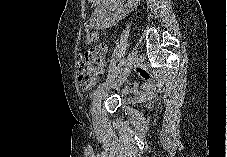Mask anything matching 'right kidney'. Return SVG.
<instances>
[{
	"label": "right kidney",
	"instance_id": "1",
	"mask_svg": "<svg viewBox=\"0 0 227 157\" xmlns=\"http://www.w3.org/2000/svg\"><path fill=\"white\" fill-rule=\"evenodd\" d=\"M110 2H114V1H110ZM107 8H109V12L107 11ZM114 10H115V6L109 7L106 4L98 6L94 12V16L97 18V25L104 27V26L115 24V22L125 17L126 12H128L127 9L120 7L117 9V11H115V13H111V11H114Z\"/></svg>",
	"mask_w": 227,
	"mask_h": 157
}]
</instances>
